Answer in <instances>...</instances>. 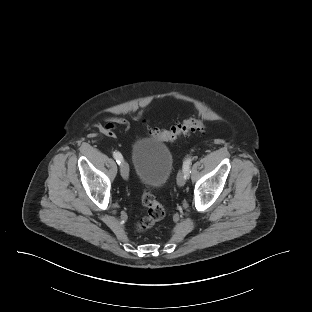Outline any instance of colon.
Wrapping results in <instances>:
<instances>
[{
    "mask_svg": "<svg viewBox=\"0 0 312 312\" xmlns=\"http://www.w3.org/2000/svg\"><path fill=\"white\" fill-rule=\"evenodd\" d=\"M206 125L199 119H189L182 123L173 124L169 129L152 128L148 134L161 141H175L192 132H203ZM142 204L146 208V214L139 219L136 228L139 232H145L155 223L165 217V209L150 190L142 194Z\"/></svg>",
    "mask_w": 312,
    "mask_h": 312,
    "instance_id": "5ec220e1",
    "label": "colon"
}]
</instances>
